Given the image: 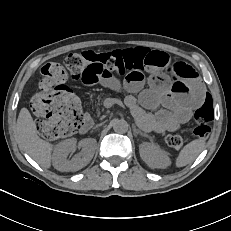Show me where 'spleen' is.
I'll return each mask as SVG.
<instances>
[{
  "label": "spleen",
  "instance_id": "obj_1",
  "mask_svg": "<svg viewBox=\"0 0 231 231\" xmlns=\"http://www.w3.org/2000/svg\"><path fill=\"white\" fill-rule=\"evenodd\" d=\"M205 148L204 139H196L188 143L176 158V166L183 167L192 163Z\"/></svg>",
  "mask_w": 231,
  "mask_h": 231
}]
</instances>
